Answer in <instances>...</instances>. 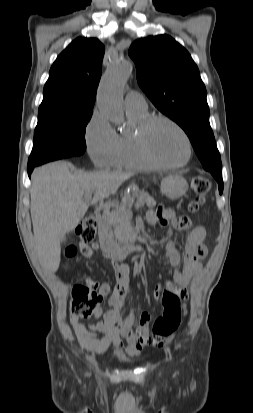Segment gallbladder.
<instances>
[{
	"label": "gallbladder",
	"mask_w": 253,
	"mask_h": 413,
	"mask_svg": "<svg viewBox=\"0 0 253 413\" xmlns=\"http://www.w3.org/2000/svg\"><path fill=\"white\" fill-rule=\"evenodd\" d=\"M64 240H65V237H63L61 241H64Z\"/></svg>",
	"instance_id": "bac80fb5"
}]
</instances>
